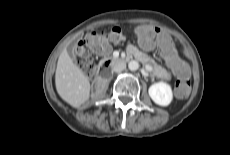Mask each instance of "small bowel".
<instances>
[{
  "instance_id": "obj_1",
  "label": "small bowel",
  "mask_w": 230,
  "mask_h": 155,
  "mask_svg": "<svg viewBox=\"0 0 230 155\" xmlns=\"http://www.w3.org/2000/svg\"><path fill=\"white\" fill-rule=\"evenodd\" d=\"M139 39L142 47L146 50L153 48L154 44L162 50V57L167 60L169 67L174 71L181 62L177 58L178 50L174 45L173 38L167 35L164 29L150 24L139 30Z\"/></svg>"
}]
</instances>
